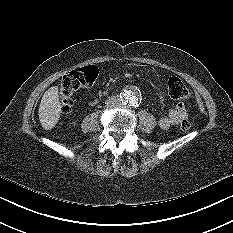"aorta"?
<instances>
[{
  "instance_id": "obj_1",
  "label": "aorta",
  "mask_w": 233,
  "mask_h": 233,
  "mask_svg": "<svg viewBox=\"0 0 233 233\" xmlns=\"http://www.w3.org/2000/svg\"><path fill=\"white\" fill-rule=\"evenodd\" d=\"M122 98L128 106H137L140 99V91L137 87L125 89L122 92Z\"/></svg>"
}]
</instances>
